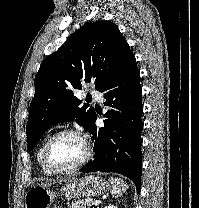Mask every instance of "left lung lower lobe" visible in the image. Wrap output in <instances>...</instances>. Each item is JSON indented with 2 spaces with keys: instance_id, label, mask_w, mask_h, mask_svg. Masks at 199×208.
Segmentation results:
<instances>
[{
  "instance_id": "1",
  "label": "left lung lower lobe",
  "mask_w": 199,
  "mask_h": 208,
  "mask_svg": "<svg viewBox=\"0 0 199 208\" xmlns=\"http://www.w3.org/2000/svg\"><path fill=\"white\" fill-rule=\"evenodd\" d=\"M104 94L109 110L104 127L95 125L93 134L95 159L81 168L82 172H116L130 178L140 191L142 175L141 130L143 123L140 72L134 55L98 90Z\"/></svg>"
}]
</instances>
